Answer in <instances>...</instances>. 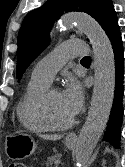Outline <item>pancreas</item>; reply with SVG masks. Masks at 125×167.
Segmentation results:
<instances>
[{
	"mask_svg": "<svg viewBox=\"0 0 125 167\" xmlns=\"http://www.w3.org/2000/svg\"><path fill=\"white\" fill-rule=\"evenodd\" d=\"M56 160H59V157L58 156H51V157H49V158H47V161H46V165H47V167H49V166H51V165H53L54 164V162L56 161Z\"/></svg>",
	"mask_w": 125,
	"mask_h": 167,
	"instance_id": "1",
	"label": "pancreas"
}]
</instances>
